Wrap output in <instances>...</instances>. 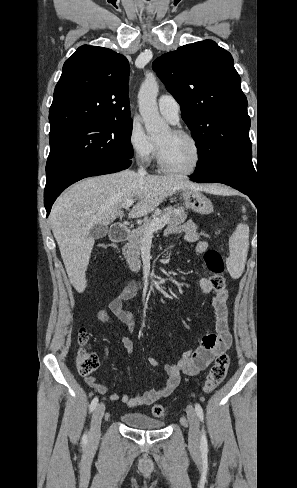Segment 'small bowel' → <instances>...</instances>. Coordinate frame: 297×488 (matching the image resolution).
<instances>
[{
  "label": "small bowel",
  "mask_w": 297,
  "mask_h": 488,
  "mask_svg": "<svg viewBox=\"0 0 297 488\" xmlns=\"http://www.w3.org/2000/svg\"><path fill=\"white\" fill-rule=\"evenodd\" d=\"M175 233H181L186 242L195 243L196 253L203 254L207 251L208 244L202 239V235L197 230L194 222L188 221L180 226L172 225L166 229L167 236ZM199 286L203 293H213L211 306L215 315V332L205 335L198 347L182 353L179 360L166 363L164 365L166 380L159 388L139 392L134 397H130L127 394L114 393L109 397L111 401L119 400L132 407L150 405L166 398L177 388L182 375L195 376L199 374L211 364L216 356L222 354L228 348L231 343V335L228 328V292L225 289L216 290L211 280L206 277L200 279ZM136 293L137 283L129 281L119 294L109 302L108 311L101 310L97 314L99 321L110 322L112 316H114L125 326L127 334L123 335L122 344L128 359L132 357L134 352V343L128 333H131L135 327V317L129 308V302ZM147 361L152 366L160 364V361L154 357H148ZM85 382L96 393L105 394L108 390V386L98 383L95 376H87Z\"/></svg>",
  "instance_id": "small-bowel-1"
}]
</instances>
